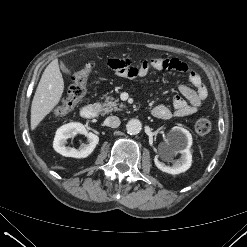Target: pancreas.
<instances>
[{"label": "pancreas", "instance_id": "1", "mask_svg": "<svg viewBox=\"0 0 247 247\" xmlns=\"http://www.w3.org/2000/svg\"><path fill=\"white\" fill-rule=\"evenodd\" d=\"M125 108L123 103H118V99L113 97H106L105 103L102 104V112L104 114L110 113L112 111H121Z\"/></svg>", "mask_w": 247, "mask_h": 247}]
</instances>
